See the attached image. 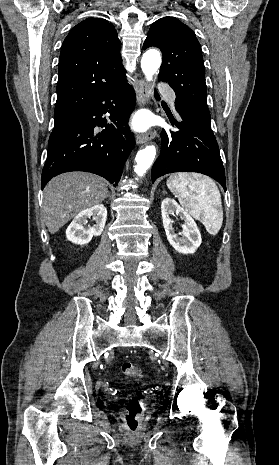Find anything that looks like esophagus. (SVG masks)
I'll return each instance as SVG.
<instances>
[{"label":"esophagus","instance_id":"obj_1","mask_svg":"<svg viewBox=\"0 0 279 465\" xmlns=\"http://www.w3.org/2000/svg\"><path fill=\"white\" fill-rule=\"evenodd\" d=\"M151 97V88L150 85L145 80L139 81L138 86V102L139 104L145 105L149 102ZM156 135V132H148L145 134H137L136 135V142L137 144L145 143L151 139H153Z\"/></svg>","mask_w":279,"mask_h":465}]
</instances>
